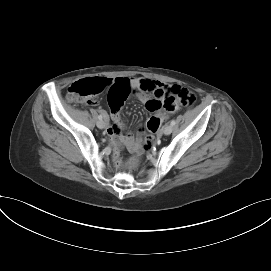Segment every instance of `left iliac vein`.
Returning a JSON list of instances; mask_svg holds the SVG:
<instances>
[{
    "label": "left iliac vein",
    "instance_id": "1",
    "mask_svg": "<svg viewBox=\"0 0 271 271\" xmlns=\"http://www.w3.org/2000/svg\"><path fill=\"white\" fill-rule=\"evenodd\" d=\"M172 130H173V128H172L171 125H166V126L163 128V133H164L165 135H169V134H171Z\"/></svg>",
    "mask_w": 271,
    "mask_h": 271
}]
</instances>
